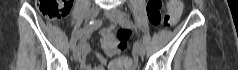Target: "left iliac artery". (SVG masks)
<instances>
[{"instance_id": "left-iliac-artery-1", "label": "left iliac artery", "mask_w": 238, "mask_h": 70, "mask_svg": "<svg viewBox=\"0 0 238 70\" xmlns=\"http://www.w3.org/2000/svg\"><path fill=\"white\" fill-rule=\"evenodd\" d=\"M122 25L123 26H126V27H129V28H134V29H136L137 28V26L132 22V21H130L129 19H123V22H122ZM147 37H143V42H142V45L143 46H146L147 45V42H149V35L147 34L146 35Z\"/></svg>"}]
</instances>
